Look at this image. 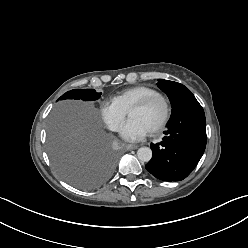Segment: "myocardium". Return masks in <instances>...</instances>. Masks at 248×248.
<instances>
[{
  "instance_id": "1",
  "label": "myocardium",
  "mask_w": 248,
  "mask_h": 248,
  "mask_svg": "<svg viewBox=\"0 0 248 248\" xmlns=\"http://www.w3.org/2000/svg\"><path fill=\"white\" fill-rule=\"evenodd\" d=\"M157 101L160 102L163 106V114L159 122L149 130L150 134H157L161 132L168 124L170 117H171V113H172L169 100L161 93H155L153 95H150L136 102L135 104L131 106V108L128 111V114H129V112L132 110L146 109L150 105H152L154 102H157Z\"/></svg>"
}]
</instances>
